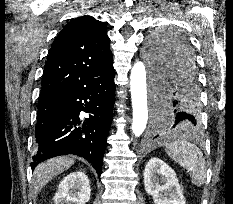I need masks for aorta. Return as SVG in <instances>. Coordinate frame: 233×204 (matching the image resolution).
I'll return each mask as SVG.
<instances>
[{
    "instance_id": "obj_1",
    "label": "aorta",
    "mask_w": 233,
    "mask_h": 204,
    "mask_svg": "<svg viewBox=\"0 0 233 204\" xmlns=\"http://www.w3.org/2000/svg\"><path fill=\"white\" fill-rule=\"evenodd\" d=\"M131 99L133 108L132 133L136 137L142 135L148 122L146 69L142 61L136 62L130 75ZM167 103L161 106V111L166 112Z\"/></svg>"
}]
</instances>
